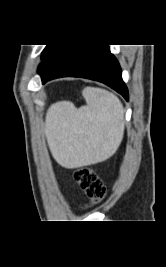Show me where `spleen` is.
<instances>
[{"instance_id": "spleen-1", "label": "spleen", "mask_w": 166, "mask_h": 267, "mask_svg": "<svg viewBox=\"0 0 166 267\" xmlns=\"http://www.w3.org/2000/svg\"><path fill=\"white\" fill-rule=\"evenodd\" d=\"M86 105H53L46 116V136L56 161L67 168L102 162L122 142L124 108L113 93L96 87L82 91Z\"/></svg>"}]
</instances>
